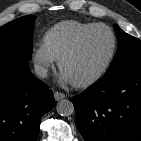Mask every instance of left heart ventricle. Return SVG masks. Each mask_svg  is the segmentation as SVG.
<instances>
[{"instance_id": "left-heart-ventricle-1", "label": "left heart ventricle", "mask_w": 141, "mask_h": 141, "mask_svg": "<svg viewBox=\"0 0 141 141\" xmlns=\"http://www.w3.org/2000/svg\"><path fill=\"white\" fill-rule=\"evenodd\" d=\"M111 47L112 39L107 30L100 28L92 31L76 53L65 62L63 73L71 82L89 78L105 63Z\"/></svg>"}]
</instances>
